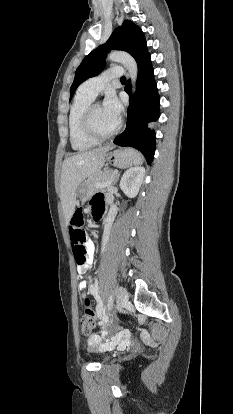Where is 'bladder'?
I'll return each instance as SVG.
<instances>
[{
  "label": "bladder",
  "mask_w": 233,
  "mask_h": 414,
  "mask_svg": "<svg viewBox=\"0 0 233 414\" xmlns=\"http://www.w3.org/2000/svg\"><path fill=\"white\" fill-rule=\"evenodd\" d=\"M109 358H110L109 355H105L102 360L107 361V360H109Z\"/></svg>",
  "instance_id": "31cf9c89"
}]
</instances>
